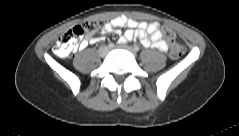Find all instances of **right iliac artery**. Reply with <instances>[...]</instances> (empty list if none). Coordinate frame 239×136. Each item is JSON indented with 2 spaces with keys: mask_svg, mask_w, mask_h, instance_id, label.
I'll return each instance as SVG.
<instances>
[{
  "mask_svg": "<svg viewBox=\"0 0 239 136\" xmlns=\"http://www.w3.org/2000/svg\"><path fill=\"white\" fill-rule=\"evenodd\" d=\"M108 47H109V48H113V47H114V43H109V44H108Z\"/></svg>",
  "mask_w": 239,
  "mask_h": 136,
  "instance_id": "right-iliac-artery-1",
  "label": "right iliac artery"
}]
</instances>
